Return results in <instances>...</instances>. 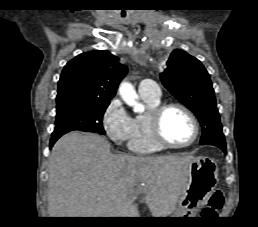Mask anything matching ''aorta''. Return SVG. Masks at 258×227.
Masks as SVG:
<instances>
[{"label": "aorta", "mask_w": 258, "mask_h": 227, "mask_svg": "<svg viewBox=\"0 0 258 227\" xmlns=\"http://www.w3.org/2000/svg\"><path fill=\"white\" fill-rule=\"evenodd\" d=\"M119 94L127 105L133 107L135 112L144 110V106L137 102L138 95L131 83L123 81L119 86Z\"/></svg>", "instance_id": "aorta-1"}]
</instances>
